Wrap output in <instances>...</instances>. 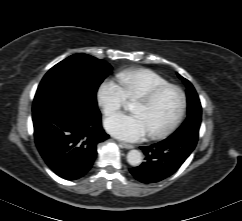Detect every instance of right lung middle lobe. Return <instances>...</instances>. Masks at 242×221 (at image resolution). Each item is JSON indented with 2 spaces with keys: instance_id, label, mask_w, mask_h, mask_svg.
I'll return each instance as SVG.
<instances>
[{
  "instance_id": "1",
  "label": "right lung middle lobe",
  "mask_w": 242,
  "mask_h": 221,
  "mask_svg": "<svg viewBox=\"0 0 242 221\" xmlns=\"http://www.w3.org/2000/svg\"><path fill=\"white\" fill-rule=\"evenodd\" d=\"M111 66L87 54H75L52 67L43 77L33 102V111L62 106L80 113L98 110L96 92Z\"/></svg>"
}]
</instances>
